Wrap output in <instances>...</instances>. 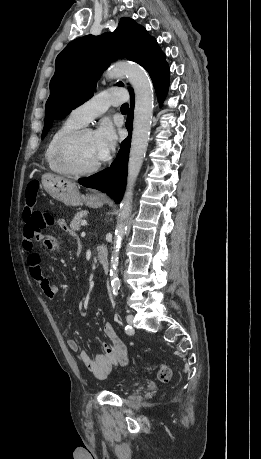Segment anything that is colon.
Segmentation results:
<instances>
[{
	"label": "colon",
	"mask_w": 261,
	"mask_h": 459,
	"mask_svg": "<svg viewBox=\"0 0 261 459\" xmlns=\"http://www.w3.org/2000/svg\"><path fill=\"white\" fill-rule=\"evenodd\" d=\"M39 193V183L33 180L28 183L25 191V204L23 209V216L19 220V225L22 228V238H35L37 232H43L46 228L52 227L58 221L48 212L33 210ZM149 370L157 369L158 378L161 382H168L171 378V369L165 364L153 365L148 368Z\"/></svg>",
	"instance_id": "5ec220e1"
}]
</instances>
